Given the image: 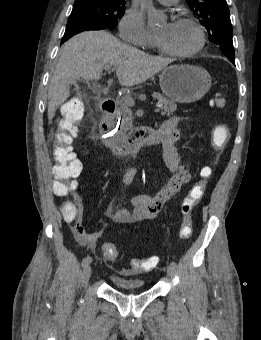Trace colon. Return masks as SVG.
Here are the masks:
<instances>
[{"label": "colon", "instance_id": "colon-1", "mask_svg": "<svg viewBox=\"0 0 261 340\" xmlns=\"http://www.w3.org/2000/svg\"><path fill=\"white\" fill-rule=\"evenodd\" d=\"M226 99L221 95H216L213 99V106L224 108ZM85 116V105L80 99H70L63 108V116L58 121L56 130L51 135L52 155L54 165L52 168L53 192L58 196L68 195L76 187V178L82 171V164L76 158L71 146L73 139L77 136L79 124ZM230 137L227 125L218 124L212 130V145L216 150H221ZM213 175L209 167L201 171V180L195 183L190 189L181 206L182 220L179 228V236L182 239H189L193 233V223L191 213L196 203L202 198L207 188L208 182ZM76 211L72 202L62 205V213L72 216ZM103 255L108 260H115L118 257V250L114 244L103 245ZM158 264L155 256L147 258H134L130 261V269L125 272L144 271L154 268Z\"/></svg>", "mask_w": 261, "mask_h": 340}]
</instances>
